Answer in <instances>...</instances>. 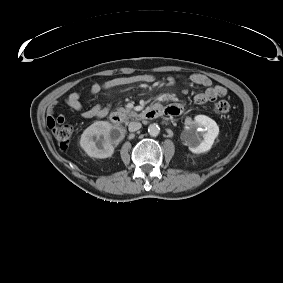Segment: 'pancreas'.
I'll use <instances>...</instances> for the list:
<instances>
[{"mask_svg":"<svg viewBox=\"0 0 283 283\" xmlns=\"http://www.w3.org/2000/svg\"><path fill=\"white\" fill-rule=\"evenodd\" d=\"M118 113L120 114H129L131 116H137V114L132 111L131 109H128V108H123V107H120L117 109Z\"/></svg>","mask_w":283,"mask_h":283,"instance_id":"obj_1","label":"pancreas"}]
</instances>
